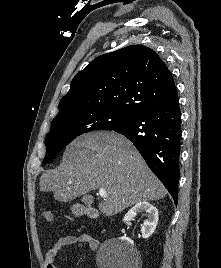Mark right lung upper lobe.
Wrapping results in <instances>:
<instances>
[{
    "label": "right lung upper lobe",
    "instance_id": "cb5924a9",
    "mask_svg": "<svg viewBox=\"0 0 221 268\" xmlns=\"http://www.w3.org/2000/svg\"><path fill=\"white\" fill-rule=\"evenodd\" d=\"M178 99L171 72L152 49L131 45L101 55L72 80L60 115L110 110L133 118Z\"/></svg>",
    "mask_w": 221,
    "mask_h": 268
}]
</instances>
